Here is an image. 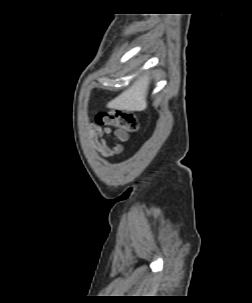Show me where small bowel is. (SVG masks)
<instances>
[{
  "label": "small bowel",
  "mask_w": 252,
  "mask_h": 303,
  "mask_svg": "<svg viewBox=\"0 0 252 303\" xmlns=\"http://www.w3.org/2000/svg\"><path fill=\"white\" fill-rule=\"evenodd\" d=\"M87 137L91 146L102 157L112 158L116 154L122 153L124 143L128 139V132L121 129L112 130L108 127L91 126L87 131ZM107 138L112 139V143H109Z\"/></svg>",
  "instance_id": "obj_1"
}]
</instances>
